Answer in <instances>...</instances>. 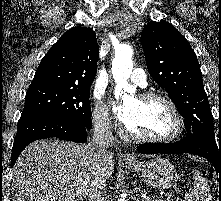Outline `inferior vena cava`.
Masks as SVG:
<instances>
[{
  "label": "inferior vena cava",
  "mask_w": 221,
  "mask_h": 201,
  "mask_svg": "<svg viewBox=\"0 0 221 201\" xmlns=\"http://www.w3.org/2000/svg\"><path fill=\"white\" fill-rule=\"evenodd\" d=\"M114 145L110 130L109 118L103 116L94 123V135L89 150L94 167L93 180L89 189L88 201H105L107 160L110 157L108 148Z\"/></svg>",
  "instance_id": "1"
}]
</instances>
